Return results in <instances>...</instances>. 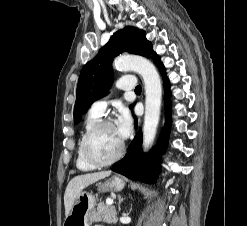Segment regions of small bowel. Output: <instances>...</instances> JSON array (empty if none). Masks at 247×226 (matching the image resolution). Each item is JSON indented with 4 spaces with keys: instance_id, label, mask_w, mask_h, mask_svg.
I'll list each match as a JSON object with an SVG mask.
<instances>
[{
    "instance_id": "c3829d8e",
    "label": "small bowel",
    "mask_w": 247,
    "mask_h": 226,
    "mask_svg": "<svg viewBox=\"0 0 247 226\" xmlns=\"http://www.w3.org/2000/svg\"><path fill=\"white\" fill-rule=\"evenodd\" d=\"M94 226H102V225H94Z\"/></svg>"
}]
</instances>
